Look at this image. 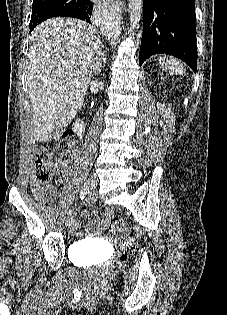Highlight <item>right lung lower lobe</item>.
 I'll return each mask as SVG.
<instances>
[{
	"mask_svg": "<svg viewBox=\"0 0 227 315\" xmlns=\"http://www.w3.org/2000/svg\"><path fill=\"white\" fill-rule=\"evenodd\" d=\"M93 9V3L90 0H77L72 6H68L63 9L60 17H72L85 20L91 23V13Z\"/></svg>",
	"mask_w": 227,
	"mask_h": 315,
	"instance_id": "right-lung-lower-lobe-1",
	"label": "right lung lower lobe"
}]
</instances>
